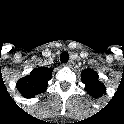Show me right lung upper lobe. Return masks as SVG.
Segmentation results:
<instances>
[{
    "mask_svg": "<svg viewBox=\"0 0 124 124\" xmlns=\"http://www.w3.org/2000/svg\"><path fill=\"white\" fill-rule=\"evenodd\" d=\"M52 68H35L30 75L18 80L17 88L27 98L46 91L48 81L51 79Z\"/></svg>",
    "mask_w": 124,
    "mask_h": 124,
    "instance_id": "cb5924a9",
    "label": "right lung upper lobe"
}]
</instances>
